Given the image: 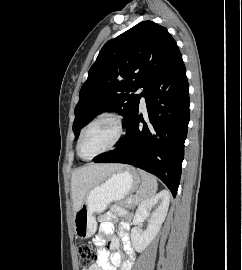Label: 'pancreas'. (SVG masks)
<instances>
[{
    "instance_id": "1",
    "label": "pancreas",
    "mask_w": 242,
    "mask_h": 270,
    "mask_svg": "<svg viewBox=\"0 0 242 270\" xmlns=\"http://www.w3.org/2000/svg\"><path fill=\"white\" fill-rule=\"evenodd\" d=\"M134 203L128 199L124 202V206L127 207V208H130V207H133Z\"/></svg>"
}]
</instances>
